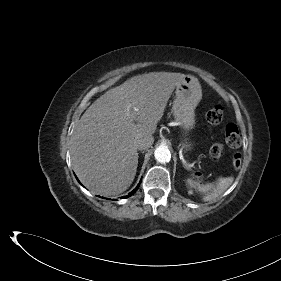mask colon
<instances>
[{
    "instance_id": "5ec220e1",
    "label": "colon",
    "mask_w": 281,
    "mask_h": 281,
    "mask_svg": "<svg viewBox=\"0 0 281 281\" xmlns=\"http://www.w3.org/2000/svg\"><path fill=\"white\" fill-rule=\"evenodd\" d=\"M207 121L211 124H220L224 118V109L222 106L212 107L206 114ZM225 142L228 147L237 149L241 144V137L238 127L234 123H229L225 127ZM223 153V146L221 144H214L209 150V157L211 160H218ZM241 165V155L236 153L233 156V166L239 168ZM198 179L197 176L194 177Z\"/></svg>"
}]
</instances>
